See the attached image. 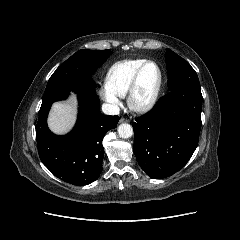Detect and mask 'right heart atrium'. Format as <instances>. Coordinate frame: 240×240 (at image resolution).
<instances>
[{
  "mask_svg": "<svg viewBox=\"0 0 240 240\" xmlns=\"http://www.w3.org/2000/svg\"><path fill=\"white\" fill-rule=\"evenodd\" d=\"M100 93L103 100L107 102L111 108L116 109L119 106L118 96L111 92L107 87L103 88Z\"/></svg>",
  "mask_w": 240,
  "mask_h": 240,
  "instance_id": "1",
  "label": "right heart atrium"
}]
</instances>
